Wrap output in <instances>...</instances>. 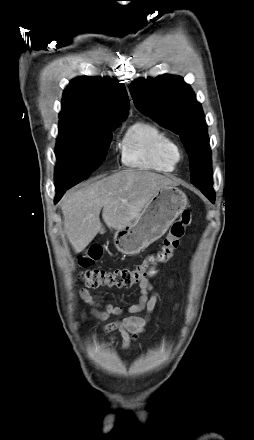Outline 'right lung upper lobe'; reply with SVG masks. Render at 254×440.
Segmentation results:
<instances>
[{
	"mask_svg": "<svg viewBox=\"0 0 254 440\" xmlns=\"http://www.w3.org/2000/svg\"><path fill=\"white\" fill-rule=\"evenodd\" d=\"M129 98L124 84L109 77H79L70 82L62 99L60 121L103 125L128 116Z\"/></svg>",
	"mask_w": 254,
	"mask_h": 440,
	"instance_id": "right-lung-upper-lobe-1",
	"label": "right lung upper lobe"
}]
</instances>
